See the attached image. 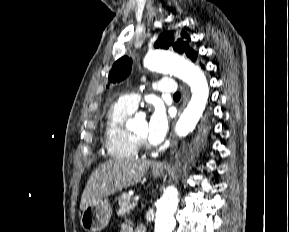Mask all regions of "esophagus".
I'll use <instances>...</instances> for the list:
<instances>
[{"label": "esophagus", "mask_w": 289, "mask_h": 232, "mask_svg": "<svg viewBox=\"0 0 289 232\" xmlns=\"http://www.w3.org/2000/svg\"><path fill=\"white\" fill-rule=\"evenodd\" d=\"M185 102H186V92L183 90V104H182V106L179 109V113L182 111V109H183V107L185 105ZM172 135H173V139H172L171 145H170L171 153H173V150H174V148L177 145V140H176V138H174V134H172ZM156 168L161 169L162 168V164H157Z\"/></svg>", "instance_id": "1"}]
</instances>
